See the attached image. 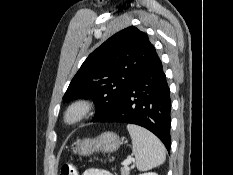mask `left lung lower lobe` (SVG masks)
<instances>
[{
  "instance_id": "obj_1",
  "label": "left lung lower lobe",
  "mask_w": 233,
  "mask_h": 175,
  "mask_svg": "<svg viewBox=\"0 0 233 175\" xmlns=\"http://www.w3.org/2000/svg\"><path fill=\"white\" fill-rule=\"evenodd\" d=\"M170 90L155 52L115 108L98 122L130 123L154 133L170 149Z\"/></svg>"
}]
</instances>
